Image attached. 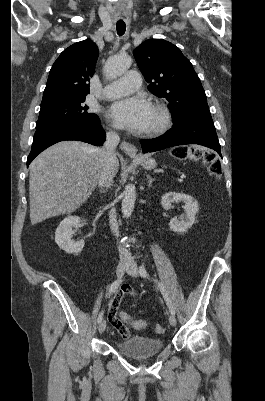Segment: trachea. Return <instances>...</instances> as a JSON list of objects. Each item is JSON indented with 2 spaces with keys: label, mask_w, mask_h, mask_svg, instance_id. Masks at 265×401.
I'll return each instance as SVG.
<instances>
[{
  "label": "trachea",
  "mask_w": 265,
  "mask_h": 401,
  "mask_svg": "<svg viewBox=\"0 0 265 401\" xmlns=\"http://www.w3.org/2000/svg\"><path fill=\"white\" fill-rule=\"evenodd\" d=\"M116 30H117L118 35L121 37L122 35H124V33L126 31V24L124 22H117Z\"/></svg>",
  "instance_id": "trachea-1"
}]
</instances>
